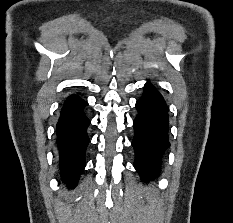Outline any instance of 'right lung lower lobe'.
Returning <instances> with one entry per match:
<instances>
[{
    "label": "right lung lower lobe",
    "mask_w": 233,
    "mask_h": 223,
    "mask_svg": "<svg viewBox=\"0 0 233 223\" xmlns=\"http://www.w3.org/2000/svg\"><path fill=\"white\" fill-rule=\"evenodd\" d=\"M87 102L76 95L63 104L57 124V144L60 153V170L65 183L74 186L85 167V151L89 143L86 129L90 124L83 108Z\"/></svg>",
    "instance_id": "1"
}]
</instances>
